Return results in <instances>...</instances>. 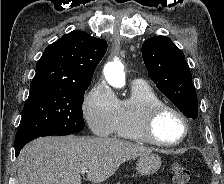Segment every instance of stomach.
Segmentation results:
<instances>
[{
  "label": "stomach",
  "mask_w": 224,
  "mask_h": 184,
  "mask_svg": "<svg viewBox=\"0 0 224 184\" xmlns=\"http://www.w3.org/2000/svg\"><path fill=\"white\" fill-rule=\"evenodd\" d=\"M160 166L161 159L154 153L139 156L136 162L137 172L142 176L157 172Z\"/></svg>",
  "instance_id": "1"
}]
</instances>
